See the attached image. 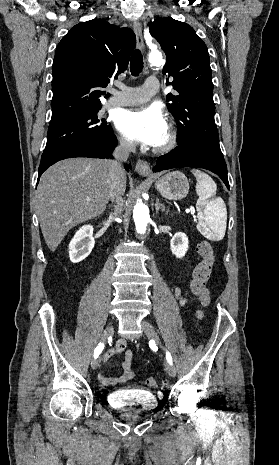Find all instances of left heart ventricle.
<instances>
[{
    "instance_id": "obj_1",
    "label": "left heart ventricle",
    "mask_w": 279,
    "mask_h": 465,
    "mask_svg": "<svg viewBox=\"0 0 279 465\" xmlns=\"http://www.w3.org/2000/svg\"><path fill=\"white\" fill-rule=\"evenodd\" d=\"M167 137H168V128L166 129V131L164 132V134L160 138L159 142L155 146H160V145L164 144L166 142V140H167Z\"/></svg>"
}]
</instances>
